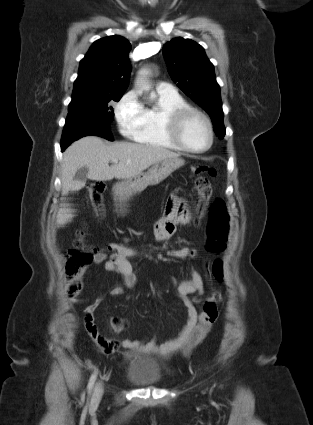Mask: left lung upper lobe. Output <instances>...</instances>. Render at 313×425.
Listing matches in <instances>:
<instances>
[{"instance_id":"1","label":"left lung upper lobe","mask_w":313,"mask_h":425,"mask_svg":"<svg viewBox=\"0 0 313 425\" xmlns=\"http://www.w3.org/2000/svg\"><path fill=\"white\" fill-rule=\"evenodd\" d=\"M163 55L172 80L209 114L216 135L222 139L226 131L220 87L203 47L191 39L177 37L164 44Z\"/></svg>"}]
</instances>
